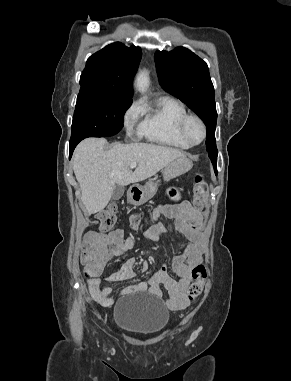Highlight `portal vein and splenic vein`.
Segmentation results:
<instances>
[{
	"label": "portal vein and splenic vein",
	"mask_w": 291,
	"mask_h": 381,
	"mask_svg": "<svg viewBox=\"0 0 291 381\" xmlns=\"http://www.w3.org/2000/svg\"><path fill=\"white\" fill-rule=\"evenodd\" d=\"M137 167V163H131L130 164V168L133 169V168H136Z\"/></svg>",
	"instance_id": "1"
}]
</instances>
